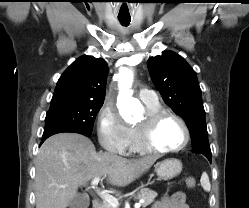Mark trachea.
<instances>
[{"mask_svg": "<svg viewBox=\"0 0 249 208\" xmlns=\"http://www.w3.org/2000/svg\"><path fill=\"white\" fill-rule=\"evenodd\" d=\"M119 21L121 22V24H123L124 26H127L130 23L129 19H119Z\"/></svg>", "mask_w": 249, "mask_h": 208, "instance_id": "1", "label": "trachea"}]
</instances>
